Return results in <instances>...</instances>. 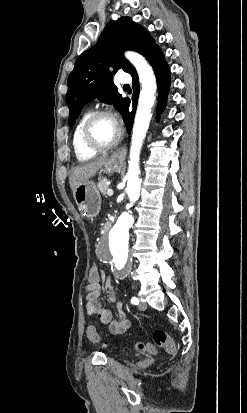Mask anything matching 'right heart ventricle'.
Returning a JSON list of instances; mask_svg holds the SVG:
<instances>
[{
    "label": "right heart ventricle",
    "instance_id": "obj_1",
    "mask_svg": "<svg viewBox=\"0 0 247 413\" xmlns=\"http://www.w3.org/2000/svg\"><path fill=\"white\" fill-rule=\"evenodd\" d=\"M87 116L83 117L81 119V121L79 122V124L77 125L74 135H73V145H74V150H75V154L77 159L80 162H86L88 160H91L93 158H95L99 152L97 151H91L86 149L81 141V131L82 128L87 120Z\"/></svg>",
    "mask_w": 247,
    "mask_h": 413
}]
</instances>
